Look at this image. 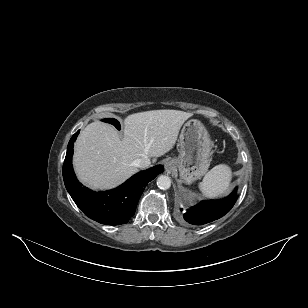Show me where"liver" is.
<instances>
[{
	"instance_id": "1",
	"label": "liver",
	"mask_w": 308,
	"mask_h": 308,
	"mask_svg": "<svg viewBox=\"0 0 308 308\" xmlns=\"http://www.w3.org/2000/svg\"><path fill=\"white\" fill-rule=\"evenodd\" d=\"M192 116L178 110L139 112L124 119L123 137L109 124L95 121L80 133L73 157L78 179L92 189L113 188L134 175V162L170 151L181 126Z\"/></svg>"
}]
</instances>
